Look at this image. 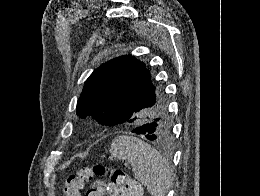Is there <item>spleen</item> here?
<instances>
[{"label":"spleen","mask_w":260,"mask_h":196,"mask_svg":"<svg viewBox=\"0 0 260 196\" xmlns=\"http://www.w3.org/2000/svg\"><path fill=\"white\" fill-rule=\"evenodd\" d=\"M109 154L116 160H125L133 168L134 176L151 196H166L172 184L169 162L134 136H118L111 142Z\"/></svg>","instance_id":"spleen-1"}]
</instances>
